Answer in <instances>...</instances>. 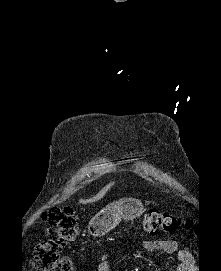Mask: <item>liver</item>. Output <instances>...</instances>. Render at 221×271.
<instances>
[{"label":"liver","instance_id":"liver-1","mask_svg":"<svg viewBox=\"0 0 221 271\" xmlns=\"http://www.w3.org/2000/svg\"><path fill=\"white\" fill-rule=\"evenodd\" d=\"M109 187L110 185H106V187H103V189H101V191H99V193H97L95 197H92V199H88V201H97V199H101V197L105 195L106 191H108Z\"/></svg>","mask_w":221,"mask_h":271}]
</instances>
